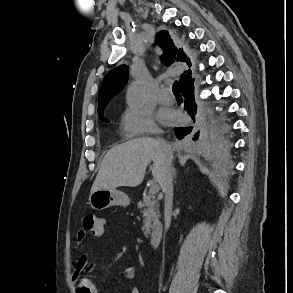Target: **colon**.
Instances as JSON below:
<instances>
[{
	"instance_id": "colon-1",
	"label": "colon",
	"mask_w": 293,
	"mask_h": 293,
	"mask_svg": "<svg viewBox=\"0 0 293 293\" xmlns=\"http://www.w3.org/2000/svg\"><path fill=\"white\" fill-rule=\"evenodd\" d=\"M84 228L96 235L104 229V218L94 213H88L83 219Z\"/></svg>"
}]
</instances>
